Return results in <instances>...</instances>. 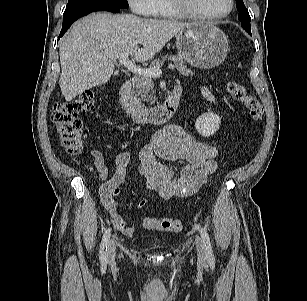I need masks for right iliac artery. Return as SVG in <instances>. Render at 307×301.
Segmentation results:
<instances>
[{"label": "right iliac artery", "mask_w": 307, "mask_h": 301, "mask_svg": "<svg viewBox=\"0 0 307 301\" xmlns=\"http://www.w3.org/2000/svg\"><path fill=\"white\" fill-rule=\"evenodd\" d=\"M110 235H111V229L108 228L105 230L104 235L102 237V242H101V250H100V262L101 264L105 265L107 262L106 259V254H107V246H108V242L110 239Z\"/></svg>", "instance_id": "1"}]
</instances>
